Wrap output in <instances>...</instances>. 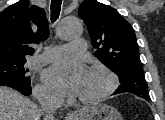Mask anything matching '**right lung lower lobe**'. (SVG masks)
I'll use <instances>...</instances> for the list:
<instances>
[{
    "mask_svg": "<svg viewBox=\"0 0 165 120\" xmlns=\"http://www.w3.org/2000/svg\"><path fill=\"white\" fill-rule=\"evenodd\" d=\"M0 85L11 87V88L21 92L25 96L30 95L32 92L30 85L22 83V82L0 80Z\"/></svg>",
    "mask_w": 165,
    "mask_h": 120,
    "instance_id": "98d812e1",
    "label": "right lung lower lobe"
}]
</instances>
